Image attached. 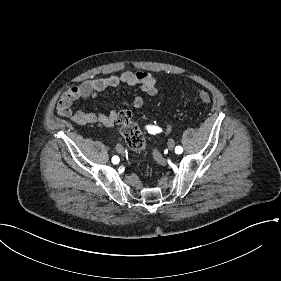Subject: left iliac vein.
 Returning <instances> with one entry per match:
<instances>
[{"mask_svg":"<svg viewBox=\"0 0 281 281\" xmlns=\"http://www.w3.org/2000/svg\"><path fill=\"white\" fill-rule=\"evenodd\" d=\"M167 144L170 150H172L175 146V142L172 139H170Z\"/></svg>","mask_w":281,"mask_h":281,"instance_id":"1","label":"left iliac vein"}]
</instances>
